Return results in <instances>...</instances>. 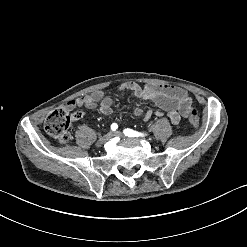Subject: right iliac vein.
I'll return each mask as SVG.
<instances>
[{"label":"right iliac vein","mask_w":247,"mask_h":247,"mask_svg":"<svg viewBox=\"0 0 247 247\" xmlns=\"http://www.w3.org/2000/svg\"><path fill=\"white\" fill-rule=\"evenodd\" d=\"M111 137H112V132H109L106 135L100 137L96 142V146L102 147Z\"/></svg>","instance_id":"63e3f726"}]
</instances>
